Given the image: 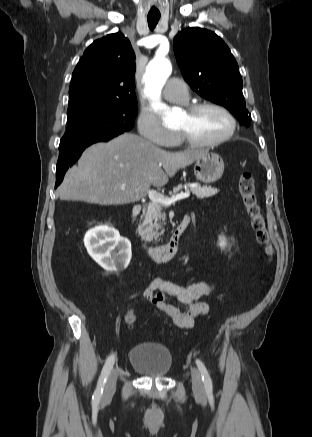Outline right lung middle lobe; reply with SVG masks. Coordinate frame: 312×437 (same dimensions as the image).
Segmentation results:
<instances>
[{"label":"right lung middle lobe","mask_w":312,"mask_h":437,"mask_svg":"<svg viewBox=\"0 0 312 437\" xmlns=\"http://www.w3.org/2000/svg\"><path fill=\"white\" fill-rule=\"evenodd\" d=\"M137 104L87 102L68 107V126L59 150L66 151L79 144L117 136L134 126Z\"/></svg>","instance_id":"obj_1"}]
</instances>
